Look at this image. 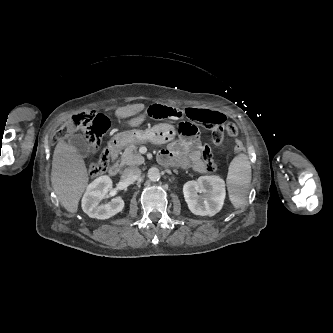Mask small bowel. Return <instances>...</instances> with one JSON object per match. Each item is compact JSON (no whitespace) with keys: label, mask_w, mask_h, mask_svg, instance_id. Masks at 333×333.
<instances>
[{"label":"small bowel","mask_w":333,"mask_h":333,"mask_svg":"<svg viewBox=\"0 0 333 333\" xmlns=\"http://www.w3.org/2000/svg\"><path fill=\"white\" fill-rule=\"evenodd\" d=\"M203 115V123L210 124L215 122H224L223 113L215 110L196 109ZM131 126L141 124L138 117L128 122ZM201 143L196 137H183L182 139L172 142L166 149L162 150L159 156L160 162L172 164L182 168L193 169L197 172H205V164L201 158Z\"/></svg>","instance_id":"c3829d8e"}]
</instances>
